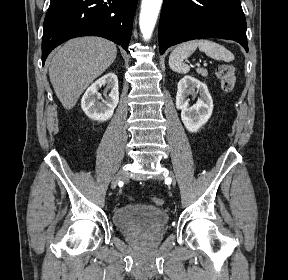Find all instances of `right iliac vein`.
Here are the masks:
<instances>
[{
	"instance_id": "obj_1",
	"label": "right iliac vein",
	"mask_w": 288,
	"mask_h": 280,
	"mask_svg": "<svg viewBox=\"0 0 288 280\" xmlns=\"http://www.w3.org/2000/svg\"><path fill=\"white\" fill-rule=\"evenodd\" d=\"M123 179H124L123 171L117 172L112 180L111 187L114 189L117 186L118 182Z\"/></svg>"
}]
</instances>
